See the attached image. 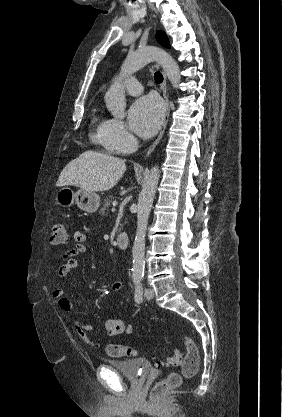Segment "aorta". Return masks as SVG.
<instances>
[{"label":"aorta","mask_w":282,"mask_h":417,"mask_svg":"<svg viewBox=\"0 0 282 417\" xmlns=\"http://www.w3.org/2000/svg\"><path fill=\"white\" fill-rule=\"evenodd\" d=\"M149 60H157L161 64L167 78L172 86L178 88L181 80L180 68L175 58L158 46H146L137 48L133 54H128L123 60L120 74L114 78L110 84L104 98L108 110L115 118H124L126 108L125 86L122 78L133 74ZM160 176L159 166H152L143 186L139 198L137 209V229L132 247V279H143L145 271V237L148 227V219L154 200L157 184Z\"/></svg>","instance_id":"1"}]
</instances>
